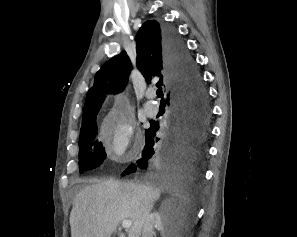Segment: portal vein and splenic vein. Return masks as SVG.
Wrapping results in <instances>:
<instances>
[{"mask_svg":"<svg viewBox=\"0 0 297 237\" xmlns=\"http://www.w3.org/2000/svg\"><path fill=\"white\" fill-rule=\"evenodd\" d=\"M131 225H132V221H130V220H124V221L122 222V227H123V228H130Z\"/></svg>","mask_w":297,"mask_h":237,"instance_id":"1","label":"portal vein and splenic vein"}]
</instances>
